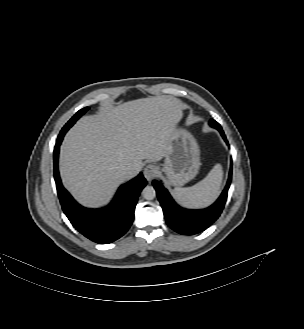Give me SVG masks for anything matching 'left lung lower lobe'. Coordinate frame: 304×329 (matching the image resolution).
<instances>
[{"label": "left lung lower lobe", "instance_id": "1", "mask_svg": "<svg viewBox=\"0 0 304 329\" xmlns=\"http://www.w3.org/2000/svg\"><path fill=\"white\" fill-rule=\"evenodd\" d=\"M210 126L216 128L228 144L220 124L213 120L210 122ZM231 178L232 164L230 166L229 177L224 191L213 205L202 210H187L181 208L175 203L161 182L154 180L153 186L156 190L168 226L182 235H193L207 229L218 219L225 206Z\"/></svg>", "mask_w": 304, "mask_h": 329}]
</instances>
